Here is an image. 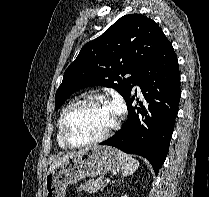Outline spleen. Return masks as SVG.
Here are the masks:
<instances>
[{
    "mask_svg": "<svg viewBox=\"0 0 209 197\" xmlns=\"http://www.w3.org/2000/svg\"><path fill=\"white\" fill-rule=\"evenodd\" d=\"M122 159V174L123 176L132 175L139 168V161L132 158L131 156L120 152Z\"/></svg>",
    "mask_w": 209,
    "mask_h": 197,
    "instance_id": "spleen-1",
    "label": "spleen"
}]
</instances>
